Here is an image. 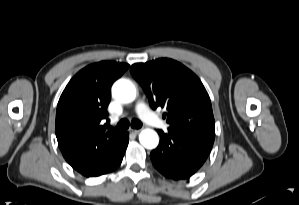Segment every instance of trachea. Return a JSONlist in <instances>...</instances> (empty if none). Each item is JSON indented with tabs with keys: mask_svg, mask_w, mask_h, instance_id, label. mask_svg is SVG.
Here are the masks:
<instances>
[{
	"mask_svg": "<svg viewBox=\"0 0 299 205\" xmlns=\"http://www.w3.org/2000/svg\"><path fill=\"white\" fill-rule=\"evenodd\" d=\"M130 125L132 128H135V129H139L142 127V123L138 119H133L131 121V123H129V121L127 119H122V120H120V122L117 124V126L115 128L117 131L121 132V131L127 130Z\"/></svg>",
	"mask_w": 299,
	"mask_h": 205,
	"instance_id": "1",
	"label": "trachea"
}]
</instances>
